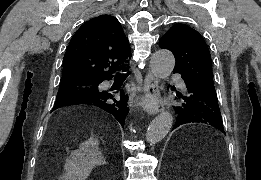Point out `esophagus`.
Masks as SVG:
<instances>
[{"instance_id": "obj_1", "label": "esophagus", "mask_w": 261, "mask_h": 180, "mask_svg": "<svg viewBox=\"0 0 261 180\" xmlns=\"http://www.w3.org/2000/svg\"><path fill=\"white\" fill-rule=\"evenodd\" d=\"M145 107L149 114L155 115L164 110L159 83L155 75L149 71L144 79Z\"/></svg>"}]
</instances>
